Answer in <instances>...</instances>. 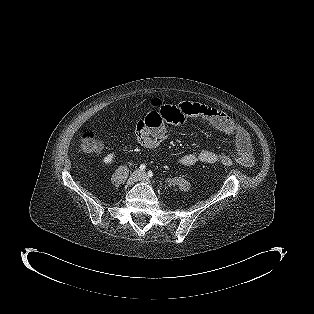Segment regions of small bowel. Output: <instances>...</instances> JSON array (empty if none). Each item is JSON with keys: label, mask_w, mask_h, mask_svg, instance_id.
<instances>
[{"label": "small bowel", "mask_w": 314, "mask_h": 314, "mask_svg": "<svg viewBox=\"0 0 314 314\" xmlns=\"http://www.w3.org/2000/svg\"><path fill=\"white\" fill-rule=\"evenodd\" d=\"M152 114V125L148 115ZM136 125V137L139 144L146 149L157 148L166 138L165 125L189 124L196 118H201L223 134L233 137L237 149V160L244 167H250L254 162L251 140L247 131L233 118L223 111L204 104L186 101L181 104L168 103L158 111H151ZM224 155L210 150L185 153L179 158V163L192 166L196 163L214 164L220 162Z\"/></svg>", "instance_id": "obj_1"}]
</instances>
